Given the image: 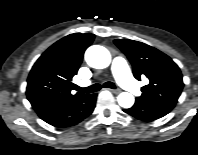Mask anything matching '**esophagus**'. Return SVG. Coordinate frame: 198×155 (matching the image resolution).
<instances>
[{
	"label": "esophagus",
	"instance_id": "obj_1",
	"mask_svg": "<svg viewBox=\"0 0 198 155\" xmlns=\"http://www.w3.org/2000/svg\"><path fill=\"white\" fill-rule=\"evenodd\" d=\"M113 93H115V94H118V93H120L121 92V90L120 89H112L111 90Z\"/></svg>",
	"mask_w": 198,
	"mask_h": 155
}]
</instances>
